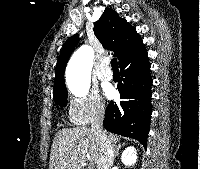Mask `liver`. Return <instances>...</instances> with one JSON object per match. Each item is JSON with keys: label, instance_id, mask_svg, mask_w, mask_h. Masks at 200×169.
I'll use <instances>...</instances> for the list:
<instances>
[{"label": "liver", "instance_id": "liver-1", "mask_svg": "<svg viewBox=\"0 0 200 169\" xmlns=\"http://www.w3.org/2000/svg\"><path fill=\"white\" fill-rule=\"evenodd\" d=\"M116 145L119 137L108 136ZM101 156L99 139L90 128H64L59 130L52 143L49 169H82L87 160L97 164Z\"/></svg>", "mask_w": 200, "mask_h": 169}]
</instances>
